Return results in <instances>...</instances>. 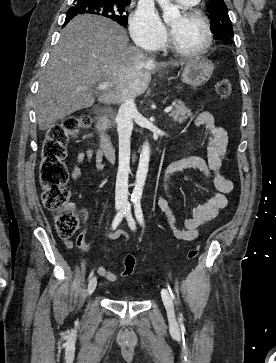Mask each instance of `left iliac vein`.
<instances>
[{"label": "left iliac vein", "instance_id": "obj_1", "mask_svg": "<svg viewBox=\"0 0 276 363\" xmlns=\"http://www.w3.org/2000/svg\"><path fill=\"white\" fill-rule=\"evenodd\" d=\"M126 219L128 221V224H129L130 228L132 230H135V221L132 218V215H131L130 211H128L126 213ZM161 296H162V300H163V303L165 305V308L167 310V314H168L169 319L172 322H175L174 304H173L170 293L168 292L167 289H162L161 290Z\"/></svg>", "mask_w": 276, "mask_h": 363}]
</instances>
